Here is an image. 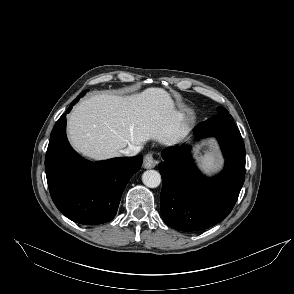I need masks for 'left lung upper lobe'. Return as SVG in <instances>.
I'll list each match as a JSON object with an SVG mask.
<instances>
[{
  "label": "left lung upper lobe",
  "instance_id": "obj_1",
  "mask_svg": "<svg viewBox=\"0 0 294 294\" xmlns=\"http://www.w3.org/2000/svg\"><path fill=\"white\" fill-rule=\"evenodd\" d=\"M218 113H219V114H228L227 110L224 109V108H222V107H219V108H218Z\"/></svg>",
  "mask_w": 294,
  "mask_h": 294
}]
</instances>
